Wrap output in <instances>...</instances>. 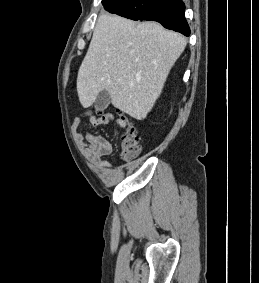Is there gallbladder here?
I'll list each match as a JSON object with an SVG mask.
<instances>
[{
	"instance_id": "1",
	"label": "gallbladder",
	"mask_w": 259,
	"mask_h": 283,
	"mask_svg": "<svg viewBox=\"0 0 259 283\" xmlns=\"http://www.w3.org/2000/svg\"><path fill=\"white\" fill-rule=\"evenodd\" d=\"M109 104H110V95L106 90H102L98 94L95 100L94 107L98 111H103L108 107Z\"/></svg>"
}]
</instances>
